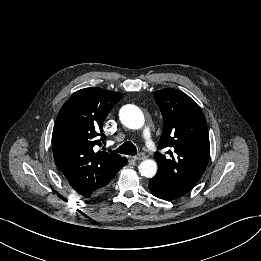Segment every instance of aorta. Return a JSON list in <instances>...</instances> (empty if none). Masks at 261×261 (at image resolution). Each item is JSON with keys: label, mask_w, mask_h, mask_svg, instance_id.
Returning a JSON list of instances; mask_svg holds the SVG:
<instances>
[{"label": "aorta", "mask_w": 261, "mask_h": 261, "mask_svg": "<svg viewBox=\"0 0 261 261\" xmlns=\"http://www.w3.org/2000/svg\"><path fill=\"white\" fill-rule=\"evenodd\" d=\"M121 123L130 129H140L143 127L145 119L139 107L127 104L119 112ZM139 172L142 176L152 178L157 173V163L154 160H144L139 165Z\"/></svg>", "instance_id": "obj_1"}]
</instances>
